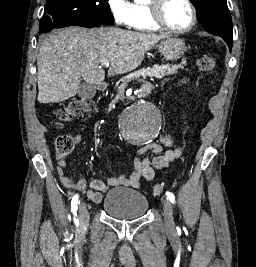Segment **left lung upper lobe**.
<instances>
[{
  "label": "left lung upper lobe",
  "instance_id": "obj_1",
  "mask_svg": "<svg viewBox=\"0 0 256 267\" xmlns=\"http://www.w3.org/2000/svg\"><path fill=\"white\" fill-rule=\"evenodd\" d=\"M198 12L199 21L210 33L218 35L232 49V19L226 0H191Z\"/></svg>",
  "mask_w": 256,
  "mask_h": 267
}]
</instances>
